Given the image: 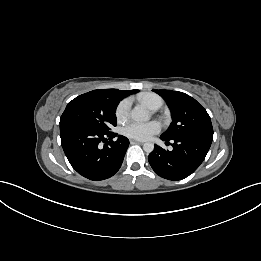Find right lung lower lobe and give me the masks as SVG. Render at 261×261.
<instances>
[{"instance_id":"1","label":"right lung lower lobe","mask_w":261,"mask_h":261,"mask_svg":"<svg viewBox=\"0 0 261 261\" xmlns=\"http://www.w3.org/2000/svg\"><path fill=\"white\" fill-rule=\"evenodd\" d=\"M61 143L71 166L83 177L100 181L113 176L121 167L129 140L116 133H100L90 128L60 126ZM107 144L101 147V142Z\"/></svg>"}]
</instances>
